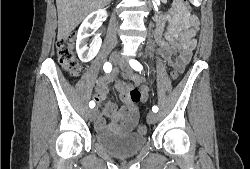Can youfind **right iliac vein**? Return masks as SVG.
I'll return each mask as SVG.
<instances>
[{"instance_id":"right-iliac-vein-1","label":"right iliac vein","mask_w":250,"mask_h":169,"mask_svg":"<svg viewBox=\"0 0 250 169\" xmlns=\"http://www.w3.org/2000/svg\"><path fill=\"white\" fill-rule=\"evenodd\" d=\"M110 61H111L113 64H119L120 58H119L118 55L112 54V55L110 56ZM97 114H98L97 109H91V110H89V119H90L91 121H94L95 118H96V116H97Z\"/></svg>"}]
</instances>
